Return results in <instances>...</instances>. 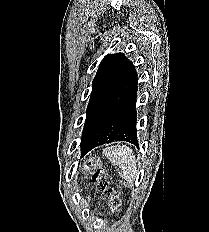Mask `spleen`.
<instances>
[{
	"label": "spleen",
	"instance_id": "3e777b00",
	"mask_svg": "<svg viewBox=\"0 0 209 232\" xmlns=\"http://www.w3.org/2000/svg\"><path fill=\"white\" fill-rule=\"evenodd\" d=\"M105 156L121 169L120 176L132 186L137 178L136 159L133 151L124 145L109 146L103 149Z\"/></svg>",
	"mask_w": 209,
	"mask_h": 232
}]
</instances>
